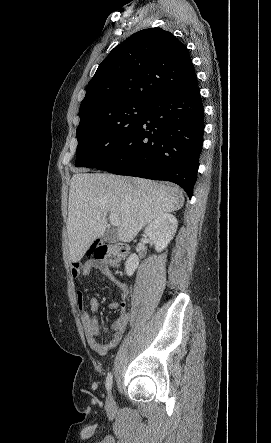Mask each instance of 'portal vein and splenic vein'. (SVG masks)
Returning <instances> with one entry per match:
<instances>
[{
    "instance_id": "1",
    "label": "portal vein and splenic vein",
    "mask_w": 271,
    "mask_h": 443,
    "mask_svg": "<svg viewBox=\"0 0 271 443\" xmlns=\"http://www.w3.org/2000/svg\"><path fill=\"white\" fill-rule=\"evenodd\" d=\"M109 220H110L111 225H119V223H120L116 214H110Z\"/></svg>"
}]
</instances>
